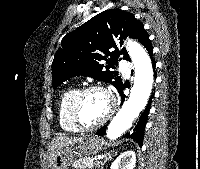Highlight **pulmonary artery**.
Listing matches in <instances>:
<instances>
[{
  "instance_id": "pulmonary-artery-1",
  "label": "pulmonary artery",
  "mask_w": 200,
  "mask_h": 169,
  "mask_svg": "<svg viewBox=\"0 0 200 169\" xmlns=\"http://www.w3.org/2000/svg\"><path fill=\"white\" fill-rule=\"evenodd\" d=\"M124 64H125V61H124V60H121V61H120V67H121V69H122L126 74H128V71H127L126 68L124 67Z\"/></svg>"
}]
</instances>
